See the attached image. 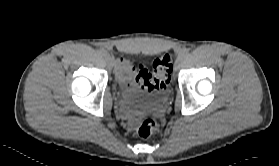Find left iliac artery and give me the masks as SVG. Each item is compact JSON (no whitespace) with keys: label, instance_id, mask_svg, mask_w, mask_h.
Segmentation results:
<instances>
[{"label":"left iliac artery","instance_id":"left-iliac-artery-1","mask_svg":"<svg viewBox=\"0 0 279 166\" xmlns=\"http://www.w3.org/2000/svg\"><path fill=\"white\" fill-rule=\"evenodd\" d=\"M188 55V50L187 49H184L182 50L179 54H178V57L179 58H184Z\"/></svg>","mask_w":279,"mask_h":166}]
</instances>
